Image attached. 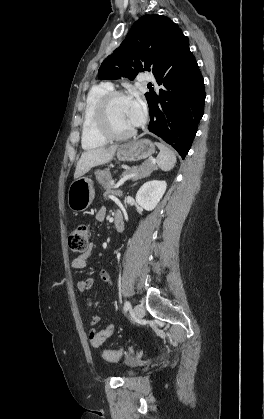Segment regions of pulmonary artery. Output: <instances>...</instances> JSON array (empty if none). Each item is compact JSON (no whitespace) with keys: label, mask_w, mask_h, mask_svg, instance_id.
<instances>
[{"label":"pulmonary artery","mask_w":264,"mask_h":419,"mask_svg":"<svg viewBox=\"0 0 264 419\" xmlns=\"http://www.w3.org/2000/svg\"><path fill=\"white\" fill-rule=\"evenodd\" d=\"M143 80L144 81H147V82H155V77H154V75L153 74H151V73H145L144 75H143ZM108 86H110V87H112V84L111 83H106Z\"/></svg>","instance_id":"pulmonary-artery-1"}]
</instances>
